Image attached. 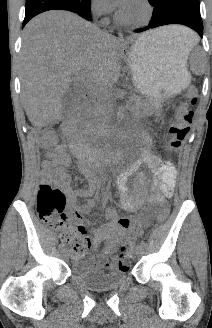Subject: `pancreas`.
<instances>
[{
  "instance_id": "obj_1",
  "label": "pancreas",
  "mask_w": 212,
  "mask_h": 328,
  "mask_svg": "<svg viewBox=\"0 0 212 328\" xmlns=\"http://www.w3.org/2000/svg\"><path fill=\"white\" fill-rule=\"evenodd\" d=\"M108 105V104H107ZM147 106V103L140 97L134 96L130 99V104L129 107L132 110L135 111H140L141 109L145 108ZM97 119H90L88 120L86 118V115L83 114V118H82V127L84 129V132L87 135H92L93 133L97 132V126L94 124V122Z\"/></svg>"
}]
</instances>
